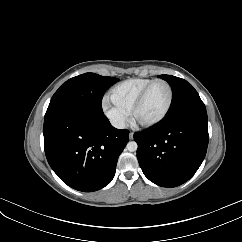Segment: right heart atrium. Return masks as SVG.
<instances>
[{
  "label": "right heart atrium",
  "instance_id": "obj_1",
  "mask_svg": "<svg viewBox=\"0 0 242 242\" xmlns=\"http://www.w3.org/2000/svg\"><path fill=\"white\" fill-rule=\"evenodd\" d=\"M102 109L106 117L117 128H122L129 119V113L115 105L108 98L103 100Z\"/></svg>",
  "mask_w": 242,
  "mask_h": 242
}]
</instances>
